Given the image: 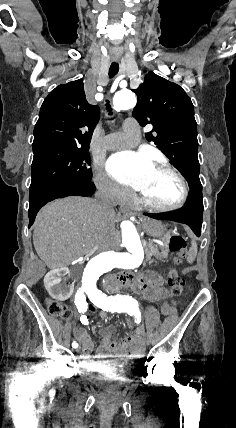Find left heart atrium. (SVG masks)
<instances>
[{"label":"left heart atrium","mask_w":236,"mask_h":428,"mask_svg":"<svg viewBox=\"0 0 236 428\" xmlns=\"http://www.w3.org/2000/svg\"><path fill=\"white\" fill-rule=\"evenodd\" d=\"M106 169L117 181L140 191L144 179L154 169V163L144 154L122 152L108 160Z\"/></svg>","instance_id":"left-heart-atrium-1"}]
</instances>
